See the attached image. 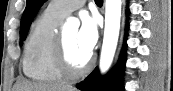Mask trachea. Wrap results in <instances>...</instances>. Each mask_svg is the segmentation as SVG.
<instances>
[{
  "label": "trachea",
  "instance_id": "trachea-1",
  "mask_svg": "<svg viewBox=\"0 0 173 91\" xmlns=\"http://www.w3.org/2000/svg\"><path fill=\"white\" fill-rule=\"evenodd\" d=\"M95 3H96V4H101V5H102V4H103V0H95Z\"/></svg>",
  "mask_w": 173,
  "mask_h": 91
}]
</instances>
